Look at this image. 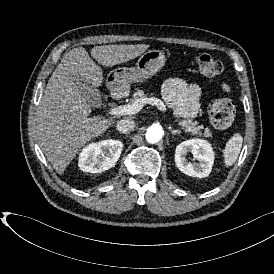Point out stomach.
Returning a JSON list of instances; mask_svg holds the SVG:
<instances>
[{
    "label": "stomach",
    "mask_w": 274,
    "mask_h": 274,
    "mask_svg": "<svg viewBox=\"0 0 274 274\" xmlns=\"http://www.w3.org/2000/svg\"><path fill=\"white\" fill-rule=\"evenodd\" d=\"M166 61L164 51L150 49L140 55L135 66L128 72L112 71L107 78V88L113 93L122 95L129 90L131 84L142 85L148 82L163 69Z\"/></svg>",
    "instance_id": "0dacf381"
}]
</instances>
